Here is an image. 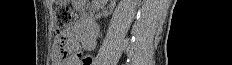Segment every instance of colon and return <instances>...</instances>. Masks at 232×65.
<instances>
[{
	"label": "colon",
	"mask_w": 232,
	"mask_h": 65,
	"mask_svg": "<svg viewBox=\"0 0 232 65\" xmlns=\"http://www.w3.org/2000/svg\"><path fill=\"white\" fill-rule=\"evenodd\" d=\"M78 21L77 14L67 6H62L56 9L55 12V30L57 31L56 47L57 55L60 59L68 57V51L65 48V38L63 31L75 25ZM83 62V65H90L91 58L89 56L78 55Z\"/></svg>",
	"instance_id": "colon-1"
}]
</instances>
